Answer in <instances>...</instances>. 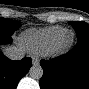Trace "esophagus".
<instances>
[{
	"mask_svg": "<svg viewBox=\"0 0 89 89\" xmlns=\"http://www.w3.org/2000/svg\"><path fill=\"white\" fill-rule=\"evenodd\" d=\"M38 63H39V59L37 58V57H32V64L33 65H38Z\"/></svg>",
	"mask_w": 89,
	"mask_h": 89,
	"instance_id": "esophagus-1",
	"label": "esophagus"
}]
</instances>
